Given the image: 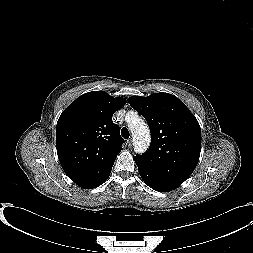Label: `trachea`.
Listing matches in <instances>:
<instances>
[{
    "label": "trachea",
    "mask_w": 253,
    "mask_h": 253,
    "mask_svg": "<svg viewBox=\"0 0 253 253\" xmlns=\"http://www.w3.org/2000/svg\"><path fill=\"white\" fill-rule=\"evenodd\" d=\"M121 135H122V137H124L125 139H128L129 136H130L128 129L125 128V127L122 128V130H121Z\"/></svg>",
    "instance_id": "3493384b"
}]
</instances>
